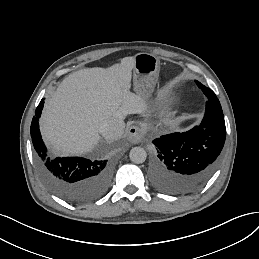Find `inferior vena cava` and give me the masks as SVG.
<instances>
[{
    "label": "inferior vena cava",
    "instance_id": "obj_1",
    "mask_svg": "<svg viewBox=\"0 0 259 259\" xmlns=\"http://www.w3.org/2000/svg\"><path fill=\"white\" fill-rule=\"evenodd\" d=\"M125 113L117 112L115 116L105 120L100 126V133L107 139H118L124 133L125 123L123 121Z\"/></svg>",
    "mask_w": 259,
    "mask_h": 259
}]
</instances>
